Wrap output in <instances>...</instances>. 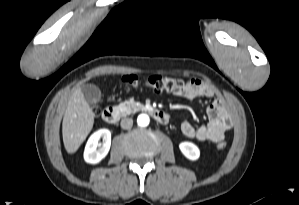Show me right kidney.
Returning a JSON list of instances; mask_svg holds the SVG:
<instances>
[{
    "label": "right kidney",
    "instance_id": "1",
    "mask_svg": "<svg viewBox=\"0 0 299 205\" xmlns=\"http://www.w3.org/2000/svg\"><path fill=\"white\" fill-rule=\"evenodd\" d=\"M102 138V144L99 140ZM111 146V132L108 129H100L94 132L88 139L85 150L84 160L90 164L99 163L108 154Z\"/></svg>",
    "mask_w": 299,
    "mask_h": 205
}]
</instances>
